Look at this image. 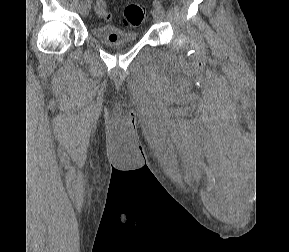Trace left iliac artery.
I'll return each mask as SVG.
<instances>
[{
	"label": "left iliac artery",
	"mask_w": 289,
	"mask_h": 252,
	"mask_svg": "<svg viewBox=\"0 0 289 252\" xmlns=\"http://www.w3.org/2000/svg\"><path fill=\"white\" fill-rule=\"evenodd\" d=\"M153 6L154 7H158V8H162V4L159 0H154L153 1Z\"/></svg>",
	"instance_id": "44dca946"
}]
</instances>
